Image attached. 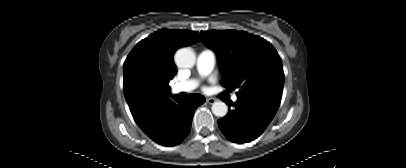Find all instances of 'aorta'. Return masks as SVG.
<instances>
[{"instance_id": "obj_1", "label": "aorta", "mask_w": 406, "mask_h": 168, "mask_svg": "<svg viewBox=\"0 0 406 168\" xmlns=\"http://www.w3.org/2000/svg\"><path fill=\"white\" fill-rule=\"evenodd\" d=\"M175 63L180 68H192L195 65L196 55L191 48H181L175 53ZM212 112L215 116L224 117L228 112L227 105L222 101L212 104Z\"/></svg>"}]
</instances>
